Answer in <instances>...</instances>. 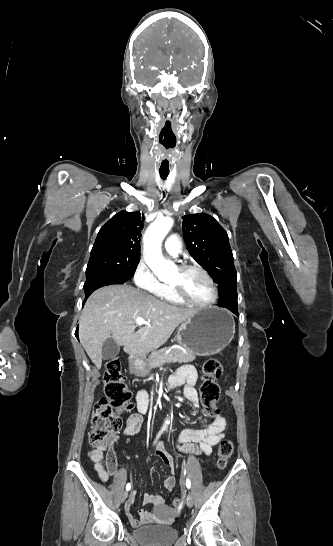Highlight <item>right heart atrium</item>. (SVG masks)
<instances>
[{
	"label": "right heart atrium",
	"mask_w": 333,
	"mask_h": 546,
	"mask_svg": "<svg viewBox=\"0 0 333 546\" xmlns=\"http://www.w3.org/2000/svg\"><path fill=\"white\" fill-rule=\"evenodd\" d=\"M133 281L138 288L155 296H161L165 289V285L157 279L150 266L144 260L138 263L133 274Z\"/></svg>",
	"instance_id": "1"
}]
</instances>
